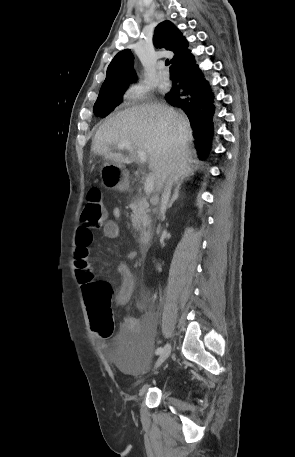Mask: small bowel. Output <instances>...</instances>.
Masks as SVG:
<instances>
[{"instance_id":"small-bowel-1","label":"small bowel","mask_w":295,"mask_h":457,"mask_svg":"<svg viewBox=\"0 0 295 457\" xmlns=\"http://www.w3.org/2000/svg\"><path fill=\"white\" fill-rule=\"evenodd\" d=\"M112 214L114 219L107 220L105 222L103 225V234L108 239H117L120 236V226L117 220L121 216V210L118 207H114L112 209ZM92 241L93 233L91 229L80 226L77 230L75 239L76 256L81 253L88 254L89 246L91 245ZM130 256H134V252H131ZM117 274L121 279V285L116 292L115 300L118 306L124 307L129 303L133 295L135 288V278L132 271L126 264H120L117 267ZM138 307L143 311L142 317H126L121 326L120 338L141 332H145L147 334L152 333L155 324V314L151 306L146 300L142 299L138 302Z\"/></svg>"}]
</instances>
